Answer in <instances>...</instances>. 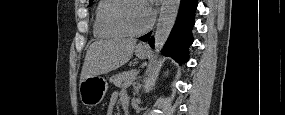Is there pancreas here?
<instances>
[{"mask_svg":"<svg viewBox=\"0 0 285 115\" xmlns=\"http://www.w3.org/2000/svg\"><path fill=\"white\" fill-rule=\"evenodd\" d=\"M136 75H137L136 70L122 72V73L114 75L110 79V82L113 83L117 87L124 86V84L126 83H131L135 79Z\"/></svg>","mask_w":285,"mask_h":115,"instance_id":"1","label":"pancreas"}]
</instances>
